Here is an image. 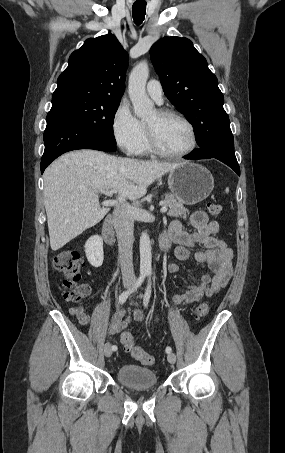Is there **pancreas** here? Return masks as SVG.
Returning a JSON list of instances; mask_svg holds the SVG:
<instances>
[{
    "label": "pancreas",
    "instance_id": "pancreas-1",
    "mask_svg": "<svg viewBox=\"0 0 285 453\" xmlns=\"http://www.w3.org/2000/svg\"><path fill=\"white\" fill-rule=\"evenodd\" d=\"M165 205L169 207L168 216L185 218L189 214V211L172 194L165 195Z\"/></svg>",
    "mask_w": 285,
    "mask_h": 453
}]
</instances>
